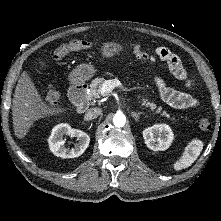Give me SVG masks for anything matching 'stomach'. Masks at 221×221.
<instances>
[{"label": "stomach", "instance_id": "stomach-1", "mask_svg": "<svg viewBox=\"0 0 221 221\" xmlns=\"http://www.w3.org/2000/svg\"><path fill=\"white\" fill-rule=\"evenodd\" d=\"M124 51V47L115 42H106L100 49L99 53L103 58H112L115 55ZM96 72L95 67L91 63H84L77 66L70 75V80L73 83H81L89 80Z\"/></svg>", "mask_w": 221, "mask_h": 221}]
</instances>
